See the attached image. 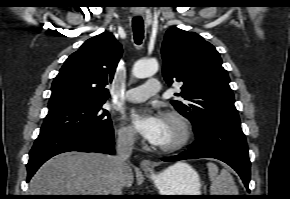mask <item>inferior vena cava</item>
<instances>
[{
    "mask_svg": "<svg viewBox=\"0 0 290 199\" xmlns=\"http://www.w3.org/2000/svg\"><path fill=\"white\" fill-rule=\"evenodd\" d=\"M135 141V132L133 130H124L118 132V138L115 146L116 154L112 156L114 171L110 195H122L125 172L128 168L127 158L131 156Z\"/></svg>",
    "mask_w": 290,
    "mask_h": 199,
    "instance_id": "602c4592",
    "label": "inferior vena cava"
}]
</instances>
